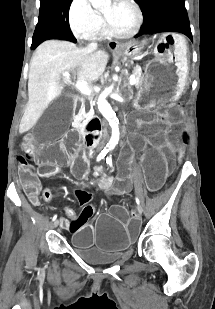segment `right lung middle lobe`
Segmentation results:
<instances>
[{
    "label": "right lung middle lobe",
    "instance_id": "obj_1",
    "mask_svg": "<svg viewBox=\"0 0 215 309\" xmlns=\"http://www.w3.org/2000/svg\"><path fill=\"white\" fill-rule=\"evenodd\" d=\"M71 2L72 0H40V13L32 38V49L47 39L76 42L68 20Z\"/></svg>",
    "mask_w": 215,
    "mask_h": 309
}]
</instances>
